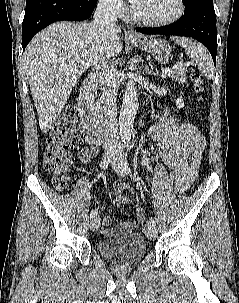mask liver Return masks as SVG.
<instances>
[{
  "label": "liver",
  "instance_id": "6515ba94",
  "mask_svg": "<svg viewBox=\"0 0 239 303\" xmlns=\"http://www.w3.org/2000/svg\"><path fill=\"white\" fill-rule=\"evenodd\" d=\"M121 28L94 23L56 22L34 36L25 49L24 72L29 81L40 129H51L72 88L94 61L121 52Z\"/></svg>",
  "mask_w": 239,
  "mask_h": 303
}]
</instances>
